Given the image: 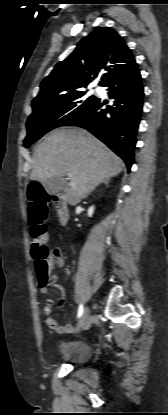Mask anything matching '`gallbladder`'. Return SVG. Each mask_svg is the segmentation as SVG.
Returning <instances> with one entry per match:
<instances>
[{
    "instance_id": "bac80fb5",
    "label": "gallbladder",
    "mask_w": 168,
    "mask_h": 415,
    "mask_svg": "<svg viewBox=\"0 0 168 415\" xmlns=\"http://www.w3.org/2000/svg\"><path fill=\"white\" fill-rule=\"evenodd\" d=\"M45 190L50 194H55L63 190L64 181L61 177L54 176L42 181Z\"/></svg>"
}]
</instances>
